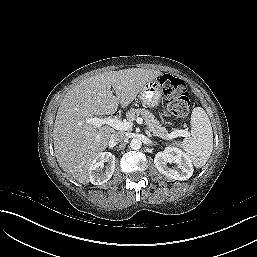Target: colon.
<instances>
[{"label":"colon","instance_id":"obj_1","mask_svg":"<svg viewBox=\"0 0 257 257\" xmlns=\"http://www.w3.org/2000/svg\"><path fill=\"white\" fill-rule=\"evenodd\" d=\"M159 84L171 113L184 120L188 116L190 107V98L185 82L171 74H164L160 77Z\"/></svg>","mask_w":257,"mask_h":257}]
</instances>
